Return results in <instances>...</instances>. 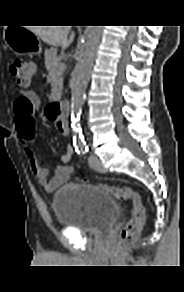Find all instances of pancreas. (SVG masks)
Instances as JSON below:
<instances>
[{"instance_id":"cf45deb5","label":"pancreas","mask_w":184,"mask_h":292,"mask_svg":"<svg viewBox=\"0 0 184 292\" xmlns=\"http://www.w3.org/2000/svg\"><path fill=\"white\" fill-rule=\"evenodd\" d=\"M62 64L57 57V49L50 48L45 51V67L51 78L52 91H57L62 88L64 70L58 67Z\"/></svg>"}]
</instances>
